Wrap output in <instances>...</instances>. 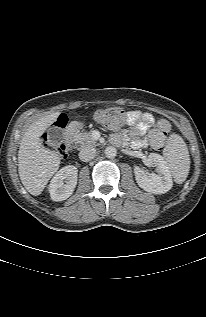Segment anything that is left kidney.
<instances>
[{"instance_id": "1", "label": "left kidney", "mask_w": 206, "mask_h": 317, "mask_svg": "<svg viewBox=\"0 0 206 317\" xmlns=\"http://www.w3.org/2000/svg\"><path fill=\"white\" fill-rule=\"evenodd\" d=\"M150 165L156 166L157 173H147L145 170L135 167V179L139 187L153 194H164L172 188L173 182L170 170L164 158L156 153H151L147 159Z\"/></svg>"}]
</instances>
